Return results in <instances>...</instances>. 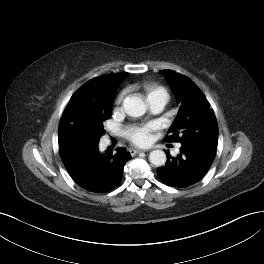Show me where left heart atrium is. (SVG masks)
<instances>
[{
  "mask_svg": "<svg viewBox=\"0 0 264 264\" xmlns=\"http://www.w3.org/2000/svg\"><path fill=\"white\" fill-rule=\"evenodd\" d=\"M156 129L154 124L134 125L127 129V138L139 146H147L152 141V132Z\"/></svg>",
  "mask_w": 264,
  "mask_h": 264,
  "instance_id": "obj_1",
  "label": "left heart atrium"
}]
</instances>
